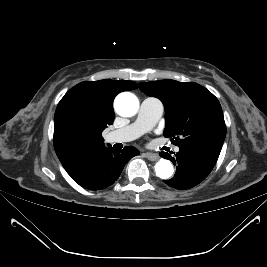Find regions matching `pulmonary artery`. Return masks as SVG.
<instances>
[{
	"instance_id": "1",
	"label": "pulmonary artery",
	"mask_w": 267,
	"mask_h": 267,
	"mask_svg": "<svg viewBox=\"0 0 267 267\" xmlns=\"http://www.w3.org/2000/svg\"><path fill=\"white\" fill-rule=\"evenodd\" d=\"M164 111L162 102L154 97L145 98L141 105L136 120L108 134V141L111 143H123L137 139L158 122ZM175 152L179 147L174 148Z\"/></svg>"
}]
</instances>
